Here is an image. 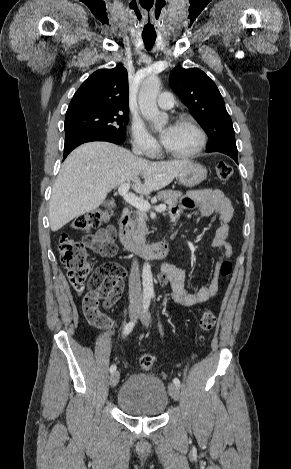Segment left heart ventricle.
Masks as SVG:
<instances>
[{
    "instance_id": "b2bd125f",
    "label": "left heart ventricle",
    "mask_w": 291,
    "mask_h": 469,
    "mask_svg": "<svg viewBox=\"0 0 291 469\" xmlns=\"http://www.w3.org/2000/svg\"><path fill=\"white\" fill-rule=\"evenodd\" d=\"M197 140V134L190 125L175 124L164 146L171 151L183 153L192 150Z\"/></svg>"
}]
</instances>
